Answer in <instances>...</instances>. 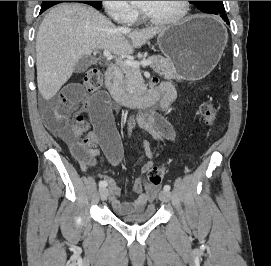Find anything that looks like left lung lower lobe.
Listing matches in <instances>:
<instances>
[{"label": "left lung lower lobe", "mask_w": 271, "mask_h": 266, "mask_svg": "<svg viewBox=\"0 0 271 266\" xmlns=\"http://www.w3.org/2000/svg\"><path fill=\"white\" fill-rule=\"evenodd\" d=\"M227 24H229L226 14L219 15Z\"/></svg>", "instance_id": "0a47b994"}]
</instances>
